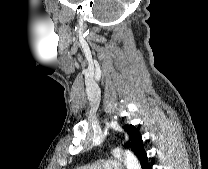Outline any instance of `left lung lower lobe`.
Listing matches in <instances>:
<instances>
[{"instance_id":"0a47b994","label":"left lung lower lobe","mask_w":208,"mask_h":169,"mask_svg":"<svg viewBox=\"0 0 208 169\" xmlns=\"http://www.w3.org/2000/svg\"><path fill=\"white\" fill-rule=\"evenodd\" d=\"M140 165L142 169H152V165L148 162L146 151H142L138 156Z\"/></svg>"}]
</instances>
